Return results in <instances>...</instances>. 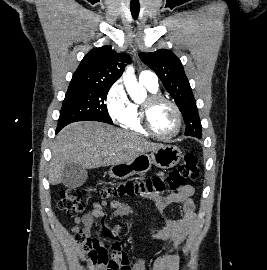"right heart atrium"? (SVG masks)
<instances>
[{
	"label": "right heart atrium",
	"mask_w": 267,
	"mask_h": 270,
	"mask_svg": "<svg viewBox=\"0 0 267 270\" xmlns=\"http://www.w3.org/2000/svg\"><path fill=\"white\" fill-rule=\"evenodd\" d=\"M130 100L122 81L118 80L107 91L105 105L107 113L113 122L120 123L128 114Z\"/></svg>",
	"instance_id": "d8ad5b80"
}]
</instances>
